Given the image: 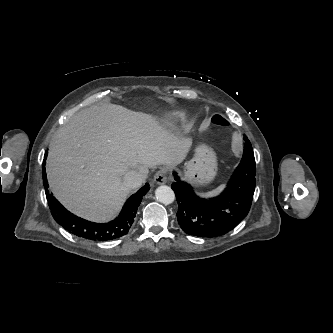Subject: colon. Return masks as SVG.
<instances>
[{
    "label": "colon",
    "mask_w": 333,
    "mask_h": 333,
    "mask_svg": "<svg viewBox=\"0 0 333 333\" xmlns=\"http://www.w3.org/2000/svg\"><path fill=\"white\" fill-rule=\"evenodd\" d=\"M211 122H212V124L217 125V126H226L227 125L226 119L224 117H222L221 115H214L211 118Z\"/></svg>",
    "instance_id": "1"
}]
</instances>
